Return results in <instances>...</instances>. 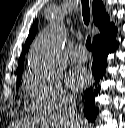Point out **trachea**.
I'll return each instance as SVG.
<instances>
[{
	"mask_svg": "<svg viewBox=\"0 0 125 128\" xmlns=\"http://www.w3.org/2000/svg\"><path fill=\"white\" fill-rule=\"evenodd\" d=\"M82 3V15H83V21L85 25H89L90 21V9H89V0H81ZM86 48L88 50L92 49L91 46V38L88 36L86 40Z\"/></svg>",
	"mask_w": 125,
	"mask_h": 128,
	"instance_id": "trachea-1",
	"label": "trachea"
}]
</instances>
